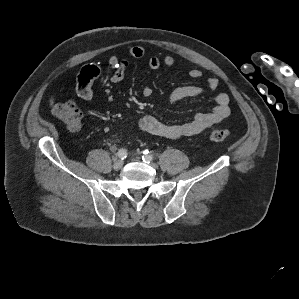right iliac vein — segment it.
I'll use <instances>...</instances> for the list:
<instances>
[{
	"label": "right iliac vein",
	"mask_w": 299,
	"mask_h": 299,
	"mask_svg": "<svg viewBox=\"0 0 299 299\" xmlns=\"http://www.w3.org/2000/svg\"><path fill=\"white\" fill-rule=\"evenodd\" d=\"M122 166H123V161H122V160H117V161L114 162V164H113V168H114L115 170H119V169H121Z\"/></svg>",
	"instance_id": "right-iliac-vein-1"
}]
</instances>
